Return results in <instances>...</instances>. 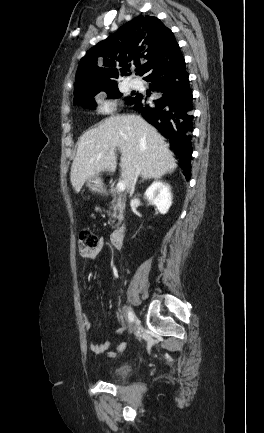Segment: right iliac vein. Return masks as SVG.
Instances as JSON below:
<instances>
[{
  "label": "right iliac vein",
  "mask_w": 264,
  "mask_h": 433,
  "mask_svg": "<svg viewBox=\"0 0 264 433\" xmlns=\"http://www.w3.org/2000/svg\"><path fill=\"white\" fill-rule=\"evenodd\" d=\"M133 322H134V325L138 324V319L135 315H133Z\"/></svg>",
  "instance_id": "63e3f726"
}]
</instances>
